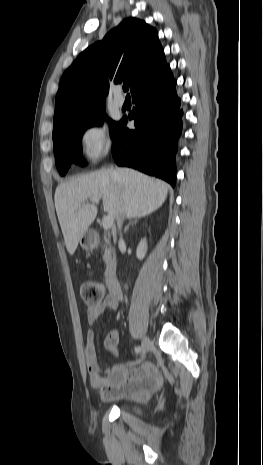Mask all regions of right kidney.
<instances>
[{"mask_svg":"<svg viewBox=\"0 0 263 465\" xmlns=\"http://www.w3.org/2000/svg\"><path fill=\"white\" fill-rule=\"evenodd\" d=\"M147 252V243L146 239L144 238L143 240L140 241L137 250H136V256L138 259L142 260Z\"/></svg>","mask_w":263,"mask_h":465,"instance_id":"right-kidney-1","label":"right kidney"}]
</instances>
